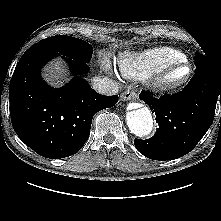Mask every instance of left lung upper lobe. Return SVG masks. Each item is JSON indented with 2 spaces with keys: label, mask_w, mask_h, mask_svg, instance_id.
I'll use <instances>...</instances> for the list:
<instances>
[{
  "label": "left lung upper lobe",
  "mask_w": 221,
  "mask_h": 221,
  "mask_svg": "<svg viewBox=\"0 0 221 221\" xmlns=\"http://www.w3.org/2000/svg\"><path fill=\"white\" fill-rule=\"evenodd\" d=\"M195 63H196L195 73L199 72V71H206L209 69H213L209 60H207L206 56H204L202 54H197L195 56Z\"/></svg>",
  "instance_id": "5c2ea615"
}]
</instances>
